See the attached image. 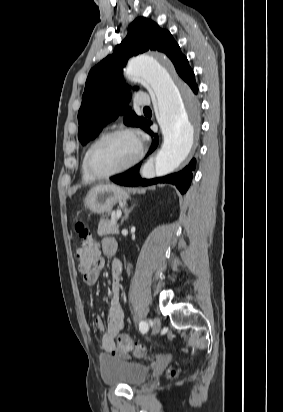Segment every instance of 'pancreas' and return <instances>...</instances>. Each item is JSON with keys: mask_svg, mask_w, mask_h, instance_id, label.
Here are the masks:
<instances>
[{"mask_svg": "<svg viewBox=\"0 0 283 412\" xmlns=\"http://www.w3.org/2000/svg\"><path fill=\"white\" fill-rule=\"evenodd\" d=\"M119 226L117 224L116 213L111 214V219H101L98 225L97 233L99 236L107 234H118Z\"/></svg>", "mask_w": 283, "mask_h": 412, "instance_id": "pancreas-1", "label": "pancreas"}]
</instances>
